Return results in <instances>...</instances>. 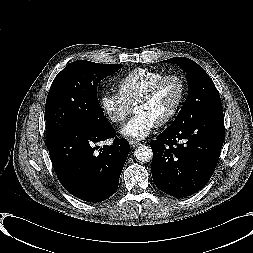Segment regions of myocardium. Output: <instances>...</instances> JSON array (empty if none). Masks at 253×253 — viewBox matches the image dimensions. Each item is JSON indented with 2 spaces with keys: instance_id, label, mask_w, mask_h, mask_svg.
<instances>
[{
  "instance_id": "obj_1",
  "label": "myocardium",
  "mask_w": 253,
  "mask_h": 253,
  "mask_svg": "<svg viewBox=\"0 0 253 253\" xmlns=\"http://www.w3.org/2000/svg\"><path fill=\"white\" fill-rule=\"evenodd\" d=\"M169 79H175L178 81L180 85V97L178 100V103L176 107L161 121L157 123L159 126H164L169 123H171L181 112L186 98H187V85L184 77L178 73H166L163 76H161L159 79L154 81L144 92V94L138 99V101L135 103L134 109H136L139 105L144 104L148 101H150L153 96L156 94L159 87L167 80Z\"/></svg>"
}]
</instances>
